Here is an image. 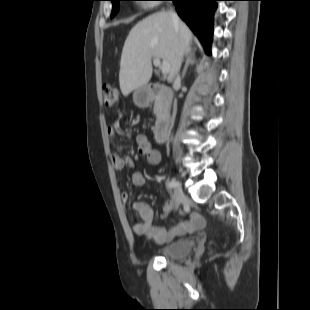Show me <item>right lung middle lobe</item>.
I'll return each instance as SVG.
<instances>
[{"mask_svg": "<svg viewBox=\"0 0 310 310\" xmlns=\"http://www.w3.org/2000/svg\"><path fill=\"white\" fill-rule=\"evenodd\" d=\"M110 1H112V5H113L112 12H111V18H112L117 14L119 10V2L122 0H110Z\"/></svg>", "mask_w": 310, "mask_h": 310, "instance_id": "right-lung-middle-lobe-1", "label": "right lung middle lobe"}]
</instances>
